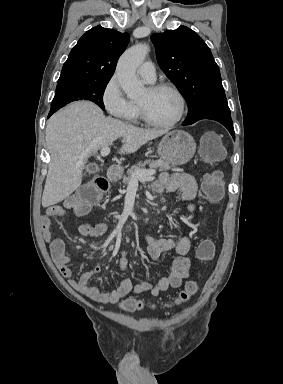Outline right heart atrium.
<instances>
[{
	"mask_svg": "<svg viewBox=\"0 0 283 384\" xmlns=\"http://www.w3.org/2000/svg\"><path fill=\"white\" fill-rule=\"evenodd\" d=\"M102 102L106 111L120 125H125L135 118L136 106L126 98L116 74H113L105 83Z\"/></svg>",
	"mask_w": 283,
	"mask_h": 384,
	"instance_id": "right-heart-atrium-1",
	"label": "right heart atrium"
}]
</instances>
